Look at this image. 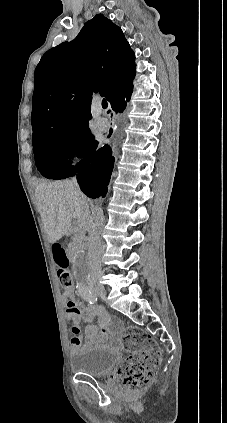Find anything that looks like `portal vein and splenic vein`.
Here are the masks:
<instances>
[{
	"label": "portal vein and splenic vein",
	"instance_id": "1",
	"mask_svg": "<svg viewBox=\"0 0 227 423\" xmlns=\"http://www.w3.org/2000/svg\"><path fill=\"white\" fill-rule=\"evenodd\" d=\"M73 217H78V213H76V214H73Z\"/></svg>",
	"mask_w": 227,
	"mask_h": 423
}]
</instances>
